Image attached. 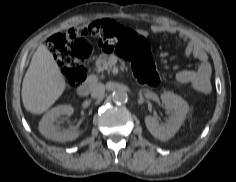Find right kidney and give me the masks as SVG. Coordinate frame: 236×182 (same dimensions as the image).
<instances>
[{
	"label": "right kidney",
	"instance_id": "right-kidney-1",
	"mask_svg": "<svg viewBox=\"0 0 236 182\" xmlns=\"http://www.w3.org/2000/svg\"><path fill=\"white\" fill-rule=\"evenodd\" d=\"M73 107L71 105H60L49 110L41 119L39 123L40 133L48 139L67 142L77 139L81 131L74 129H60L55 125L57 119L61 115L70 116L73 114Z\"/></svg>",
	"mask_w": 236,
	"mask_h": 182
}]
</instances>
